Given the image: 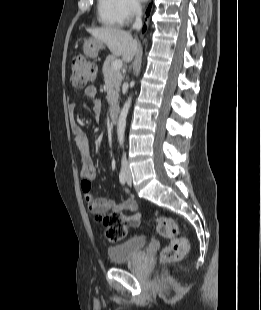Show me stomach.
Wrapping results in <instances>:
<instances>
[{"label": "stomach", "mask_w": 261, "mask_h": 310, "mask_svg": "<svg viewBox=\"0 0 261 310\" xmlns=\"http://www.w3.org/2000/svg\"><path fill=\"white\" fill-rule=\"evenodd\" d=\"M103 48V42L95 39L89 38L84 41L83 52L88 58H96L100 49Z\"/></svg>", "instance_id": "obj_1"}]
</instances>
